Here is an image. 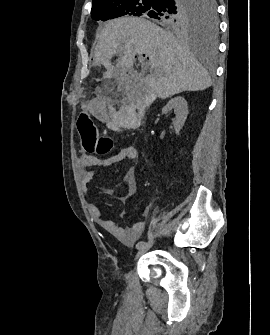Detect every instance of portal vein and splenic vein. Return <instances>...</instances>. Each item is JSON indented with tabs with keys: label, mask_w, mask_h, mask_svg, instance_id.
<instances>
[{
	"label": "portal vein and splenic vein",
	"mask_w": 270,
	"mask_h": 335,
	"mask_svg": "<svg viewBox=\"0 0 270 335\" xmlns=\"http://www.w3.org/2000/svg\"><path fill=\"white\" fill-rule=\"evenodd\" d=\"M146 65H147L148 67H151V66L153 65V62H152L151 60H148V61L146 62Z\"/></svg>",
	"instance_id": "18ae733b"
}]
</instances>
